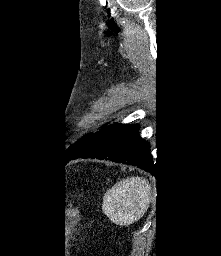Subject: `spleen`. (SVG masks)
<instances>
[{"mask_svg":"<svg viewBox=\"0 0 221 256\" xmlns=\"http://www.w3.org/2000/svg\"><path fill=\"white\" fill-rule=\"evenodd\" d=\"M151 202V185L140 177L123 179L104 195L102 210L115 224L129 225L140 219Z\"/></svg>","mask_w":221,"mask_h":256,"instance_id":"spleen-1","label":"spleen"}]
</instances>
